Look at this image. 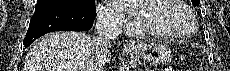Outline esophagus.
Here are the masks:
<instances>
[{
  "label": "esophagus",
  "mask_w": 230,
  "mask_h": 71,
  "mask_svg": "<svg viewBox=\"0 0 230 71\" xmlns=\"http://www.w3.org/2000/svg\"><path fill=\"white\" fill-rule=\"evenodd\" d=\"M126 44L128 47H139L140 46V44L133 39L127 40Z\"/></svg>",
  "instance_id": "34e87169"
}]
</instances>
